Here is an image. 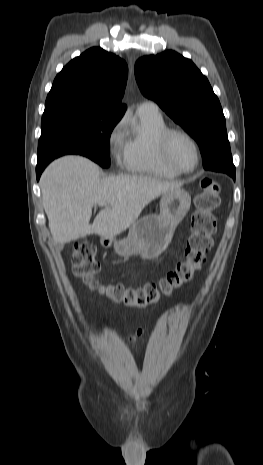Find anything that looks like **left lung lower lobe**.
<instances>
[{
  "instance_id": "0a47b994",
  "label": "left lung lower lobe",
  "mask_w": 263,
  "mask_h": 465,
  "mask_svg": "<svg viewBox=\"0 0 263 465\" xmlns=\"http://www.w3.org/2000/svg\"><path fill=\"white\" fill-rule=\"evenodd\" d=\"M215 166V163L214 161H212L211 159H204V168L207 169V170H212V168ZM227 171L231 174H233L235 176V170H229L227 169Z\"/></svg>"
}]
</instances>
